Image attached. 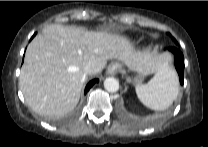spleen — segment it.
<instances>
[{
    "instance_id": "obj_1",
    "label": "spleen",
    "mask_w": 208,
    "mask_h": 147,
    "mask_svg": "<svg viewBox=\"0 0 208 147\" xmlns=\"http://www.w3.org/2000/svg\"><path fill=\"white\" fill-rule=\"evenodd\" d=\"M135 90L146 107L156 111L165 110L180 92L177 73L166 61L147 84H138Z\"/></svg>"
}]
</instances>
